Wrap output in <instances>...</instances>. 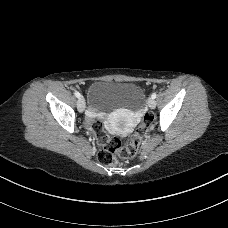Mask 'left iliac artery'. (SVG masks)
Wrapping results in <instances>:
<instances>
[{"label": "left iliac artery", "mask_w": 228, "mask_h": 228, "mask_svg": "<svg viewBox=\"0 0 228 228\" xmlns=\"http://www.w3.org/2000/svg\"><path fill=\"white\" fill-rule=\"evenodd\" d=\"M156 92H154L152 95H151V97L153 98V99H155L156 98Z\"/></svg>", "instance_id": "1"}]
</instances>
